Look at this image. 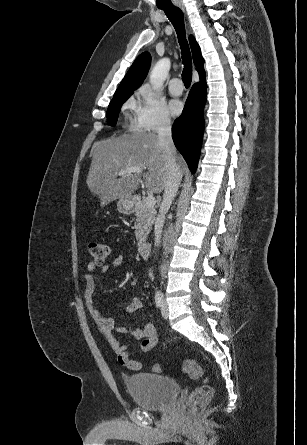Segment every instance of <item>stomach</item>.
Returning a JSON list of instances; mask_svg holds the SVG:
<instances>
[{
  "label": "stomach",
  "instance_id": "0dacf381",
  "mask_svg": "<svg viewBox=\"0 0 307 445\" xmlns=\"http://www.w3.org/2000/svg\"><path fill=\"white\" fill-rule=\"evenodd\" d=\"M134 200H132L131 196H122L117 200V210L122 212V214H130L134 208Z\"/></svg>",
  "mask_w": 307,
  "mask_h": 445
}]
</instances>
